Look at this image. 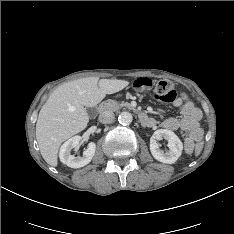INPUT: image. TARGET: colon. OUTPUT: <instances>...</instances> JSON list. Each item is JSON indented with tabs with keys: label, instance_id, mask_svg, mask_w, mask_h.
Wrapping results in <instances>:
<instances>
[{
	"label": "colon",
	"instance_id": "5ec220e1",
	"mask_svg": "<svg viewBox=\"0 0 234 234\" xmlns=\"http://www.w3.org/2000/svg\"><path fill=\"white\" fill-rule=\"evenodd\" d=\"M152 87V81L149 78L142 77L138 78L134 82V88L138 91H146L149 90ZM154 94L155 96L165 102H169L176 98L177 92L174 89L173 85L169 81H160L156 84L155 89H154ZM185 98V96L183 95ZM190 148H193L195 152H199L202 148L200 143H196L193 147L191 146Z\"/></svg>",
	"mask_w": 234,
	"mask_h": 234
}]
</instances>
